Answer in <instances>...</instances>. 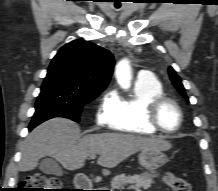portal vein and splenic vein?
Returning a JSON list of instances; mask_svg holds the SVG:
<instances>
[{
    "label": "portal vein and splenic vein",
    "instance_id": "18ae733b",
    "mask_svg": "<svg viewBox=\"0 0 218 191\" xmlns=\"http://www.w3.org/2000/svg\"><path fill=\"white\" fill-rule=\"evenodd\" d=\"M90 158H91V159H95V158H96V155H91Z\"/></svg>",
    "mask_w": 218,
    "mask_h": 191
}]
</instances>
